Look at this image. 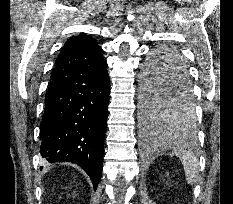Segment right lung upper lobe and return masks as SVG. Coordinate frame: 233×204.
Listing matches in <instances>:
<instances>
[{"mask_svg":"<svg viewBox=\"0 0 233 204\" xmlns=\"http://www.w3.org/2000/svg\"><path fill=\"white\" fill-rule=\"evenodd\" d=\"M105 63L102 48L95 39L86 34L73 36L65 43L56 59L49 88L70 78L77 69L98 68Z\"/></svg>","mask_w":233,"mask_h":204,"instance_id":"cb5924a9","label":"right lung upper lobe"}]
</instances>
